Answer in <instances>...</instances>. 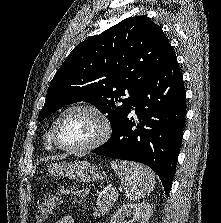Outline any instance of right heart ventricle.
Segmentation results:
<instances>
[{
	"instance_id": "right-heart-ventricle-1",
	"label": "right heart ventricle",
	"mask_w": 221,
	"mask_h": 223,
	"mask_svg": "<svg viewBox=\"0 0 221 223\" xmlns=\"http://www.w3.org/2000/svg\"><path fill=\"white\" fill-rule=\"evenodd\" d=\"M51 129H52V126L49 128V130L46 133V146H48V147H51L52 146Z\"/></svg>"
}]
</instances>
